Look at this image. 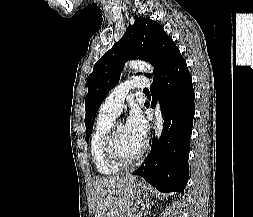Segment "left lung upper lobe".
<instances>
[{"label": "left lung upper lobe", "mask_w": 253, "mask_h": 217, "mask_svg": "<svg viewBox=\"0 0 253 217\" xmlns=\"http://www.w3.org/2000/svg\"><path fill=\"white\" fill-rule=\"evenodd\" d=\"M180 54L173 39L163 27L150 18H137L129 25L120 41L115 43L95 64L88 76L85 98L86 141L89 140L96 112L109 91L116 86L126 61L144 59L154 67V80ZM152 77L151 74H146Z\"/></svg>", "instance_id": "1"}]
</instances>
